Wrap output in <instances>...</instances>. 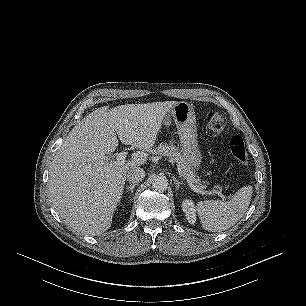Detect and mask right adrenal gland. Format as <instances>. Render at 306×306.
Segmentation results:
<instances>
[{
    "instance_id": "2a0ac1e0",
    "label": "right adrenal gland",
    "mask_w": 306,
    "mask_h": 306,
    "mask_svg": "<svg viewBox=\"0 0 306 306\" xmlns=\"http://www.w3.org/2000/svg\"><path fill=\"white\" fill-rule=\"evenodd\" d=\"M136 185L137 184H130V185L126 186V190L130 191L131 193H133V190H134Z\"/></svg>"
}]
</instances>
